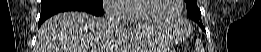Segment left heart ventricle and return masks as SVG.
<instances>
[{
  "label": "left heart ventricle",
  "mask_w": 261,
  "mask_h": 52,
  "mask_svg": "<svg viewBox=\"0 0 261 52\" xmlns=\"http://www.w3.org/2000/svg\"><path fill=\"white\" fill-rule=\"evenodd\" d=\"M143 12L155 18L169 19L177 13V0H150L143 2Z\"/></svg>",
  "instance_id": "1"
}]
</instances>
